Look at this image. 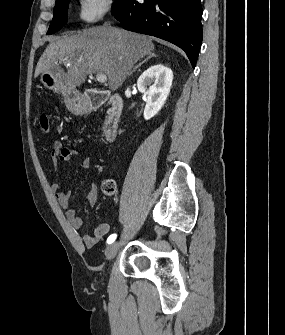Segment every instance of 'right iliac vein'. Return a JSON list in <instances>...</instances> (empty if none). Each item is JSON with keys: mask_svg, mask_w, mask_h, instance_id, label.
<instances>
[{"mask_svg": "<svg viewBox=\"0 0 285 335\" xmlns=\"http://www.w3.org/2000/svg\"><path fill=\"white\" fill-rule=\"evenodd\" d=\"M119 251V245L117 242L110 244L106 250V259L111 260Z\"/></svg>", "mask_w": 285, "mask_h": 335, "instance_id": "obj_1", "label": "right iliac vein"}]
</instances>
